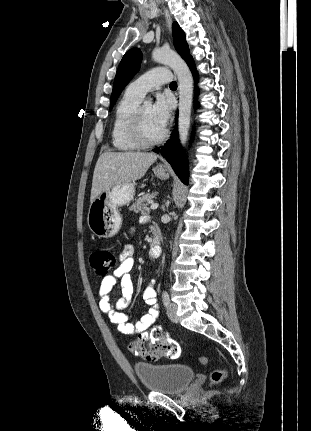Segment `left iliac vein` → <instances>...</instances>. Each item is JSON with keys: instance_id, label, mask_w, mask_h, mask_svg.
<instances>
[{"instance_id": "1", "label": "left iliac vein", "mask_w": 311, "mask_h": 431, "mask_svg": "<svg viewBox=\"0 0 311 431\" xmlns=\"http://www.w3.org/2000/svg\"><path fill=\"white\" fill-rule=\"evenodd\" d=\"M167 315L168 318L174 322L177 323L179 321L178 316H177V306L174 303H170L167 307Z\"/></svg>"}]
</instances>
